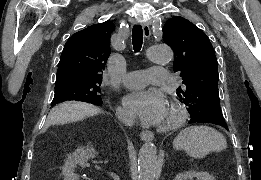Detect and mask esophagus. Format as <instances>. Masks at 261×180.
Here are the masks:
<instances>
[{
	"label": "esophagus",
	"instance_id": "esophagus-1",
	"mask_svg": "<svg viewBox=\"0 0 261 180\" xmlns=\"http://www.w3.org/2000/svg\"><path fill=\"white\" fill-rule=\"evenodd\" d=\"M143 33H144V35L147 39L150 38L151 32H150L149 25L146 22L143 23ZM153 139H154V134L152 132H150L149 130H143L141 132V140L142 141L150 142Z\"/></svg>",
	"mask_w": 261,
	"mask_h": 180
}]
</instances>
